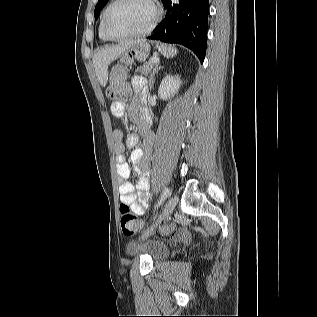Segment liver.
I'll return each mask as SVG.
<instances>
[{
  "instance_id": "6515ba94",
  "label": "liver",
  "mask_w": 317,
  "mask_h": 317,
  "mask_svg": "<svg viewBox=\"0 0 317 317\" xmlns=\"http://www.w3.org/2000/svg\"><path fill=\"white\" fill-rule=\"evenodd\" d=\"M139 42V41H137ZM136 41H127L118 45L100 48L93 56V64L98 81L102 87H105L108 81V66L120 57Z\"/></svg>"
}]
</instances>
